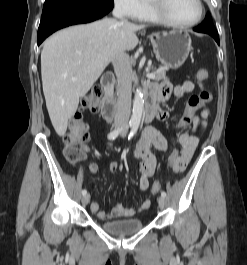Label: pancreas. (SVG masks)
<instances>
[{
  "label": "pancreas",
  "mask_w": 247,
  "mask_h": 265,
  "mask_svg": "<svg viewBox=\"0 0 247 265\" xmlns=\"http://www.w3.org/2000/svg\"><path fill=\"white\" fill-rule=\"evenodd\" d=\"M154 75H155V80H166V69L163 67H159L158 69H156L154 71Z\"/></svg>",
  "instance_id": "cf45deb5"
}]
</instances>
